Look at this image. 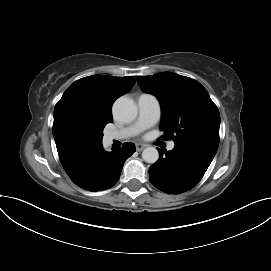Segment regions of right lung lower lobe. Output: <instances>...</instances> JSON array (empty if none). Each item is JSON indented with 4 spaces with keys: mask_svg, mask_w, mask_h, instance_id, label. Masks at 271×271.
Segmentation results:
<instances>
[{
    "mask_svg": "<svg viewBox=\"0 0 271 271\" xmlns=\"http://www.w3.org/2000/svg\"><path fill=\"white\" fill-rule=\"evenodd\" d=\"M135 152L133 143H124L112 152L103 146L66 169L70 179L79 187L96 192L112 187L120 177L125 160Z\"/></svg>",
    "mask_w": 271,
    "mask_h": 271,
    "instance_id": "right-lung-lower-lobe-1",
    "label": "right lung lower lobe"
}]
</instances>
